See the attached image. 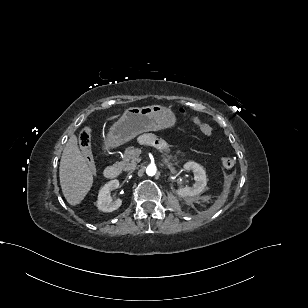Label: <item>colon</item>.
<instances>
[{
    "label": "colon",
    "instance_id": "obj_1",
    "mask_svg": "<svg viewBox=\"0 0 308 308\" xmlns=\"http://www.w3.org/2000/svg\"><path fill=\"white\" fill-rule=\"evenodd\" d=\"M181 112L184 113V110L181 109ZM193 122L198 126L200 131L207 135L211 136L213 134V128L198 118H193ZM79 146L82 151V155L84 157V160L86 161L88 167L94 171L95 170V163L94 159L91 153V128L90 127H84L80 134H79ZM235 160L232 157H224L222 159V166L226 169H230L234 166Z\"/></svg>",
    "mask_w": 308,
    "mask_h": 308
}]
</instances>
